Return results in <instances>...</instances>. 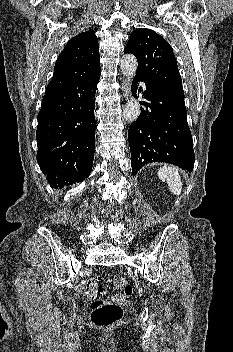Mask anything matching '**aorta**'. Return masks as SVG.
Segmentation results:
<instances>
[{"label": "aorta", "instance_id": "762f6f07", "mask_svg": "<svg viewBox=\"0 0 233 352\" xmlns=\"http://www.w3.org/2000/svg\"><path fill=\"white\" fill-rule=\"evenodd\" d=\"M121 71L127 78H133L137 70V59L133 55H125L121 59ZM140 114V103L131 97L125 105L123 118L127 122H134Z\"/></svg>", "mask_w": 233, "mask_h": 352}]
</instances>
